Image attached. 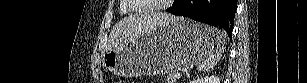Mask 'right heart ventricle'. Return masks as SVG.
I'll return each mask as SVG.
<instances>
[{
	"label": "right heart ventricle",
	"mask_w": 307,
	"mask_h": 83,
	"mask_svg": "<svg viewBox=\"0 0 307 83\" xmlns=\"http://www.w3.org/2000/svg\"><path fill=\"white\" fill-rule=\"evenodd\" d=\"M128 8H129V7H128ZM129 9H130V8H129ZM122 11H123L124 13H128V12H129L127 8H123ZM131 11H132V10H131Z\"/></svg>",
	"instance_id": "e07e8e85"
}]
</instances>
